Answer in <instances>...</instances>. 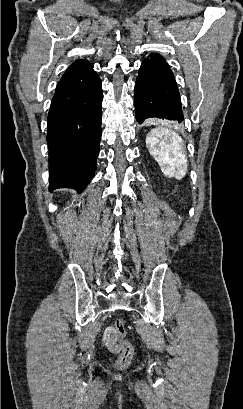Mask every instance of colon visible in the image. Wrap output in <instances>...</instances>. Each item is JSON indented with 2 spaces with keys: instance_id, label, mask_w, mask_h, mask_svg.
Instances as JSON below:
<instances>
[{
  "instance_id": "5ec220e1",
  "label": "colon",
  "mask_w": 243,
  "mask_h": 409,
  "mask_svg": "<svg viewBox=\"0 0 243 409\" xmlns=\"http://www.w3.org/2000/svg\"><path fill=\"white\" fill-rule=\"evenodd\" d=\"M115 335L120 343L121 351L116 364L121 368L129 366L134 355L133 345L126 339V327L121 319H117L114 324Z\"/></svg>"
}]
</instances>
